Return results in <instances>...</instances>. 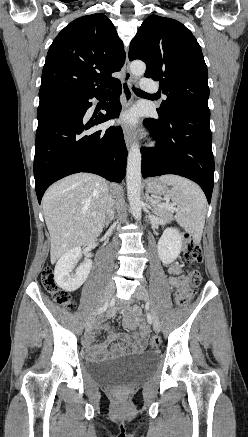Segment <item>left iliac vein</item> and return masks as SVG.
I'll return each mask as SVG.
<instances>
[{
  "label": "left iliac vein",
  "instance_id": "1",
  "mask_svg": "<svg viewBox=\"0 0 248 437\" xmlns=\"http://www.w3.org/2000/svg\"><path fill=\"white\" fill-rule=\"evenodd\" d=\"M134 297L137 299L148 301V293L144 286H138L134 292ZM150 312L152 314V323H153V329L156 333L160 332L161 325L160 321L156 315V312L154 308L151 306Z\"/></svg>",
  "mask_w": 248,
  "mask_h": 437
}]
</instances>
